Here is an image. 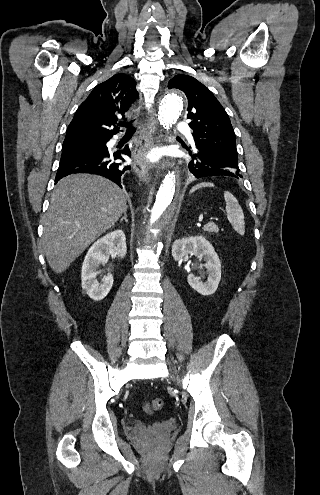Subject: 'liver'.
I'll list each match as a JSON object with an SVG mask.
<instances>
[{
	"label": "liver",
	"mask_w": 320,
	"mask_h": 495,
	"mask_svg": "<svg viewBox=\"0 0 320 495\" xmlns=\"http://www.w3.org/2000/svg\"><path fill=\"white\" fill-rule=\"evenodd\" d=\"M126 210V195L113 182L89 174L62 178L43 223L42 243L50 268L64 272Z\"/></svg>",
	"instance_id": "obj_1"
}]
</instances>
